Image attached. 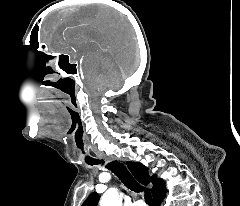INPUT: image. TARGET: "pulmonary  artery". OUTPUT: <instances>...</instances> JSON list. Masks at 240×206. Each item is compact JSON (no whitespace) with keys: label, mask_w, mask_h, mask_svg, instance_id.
<instances>
[{"label":"pulmonary artery","mask_w":240,"mask_h":206,"mask_svg":"<svg viewBox=\"0 0 240 206\" xmlns=\"http://www.w3.org/2000/svg\"><path fill=\"white\" fill-rule=\"evenodd\" d=\"M132 206H146V205L141 201H136L132 204Z\"/></svg>","instance_id":"1"}]
</instances>
